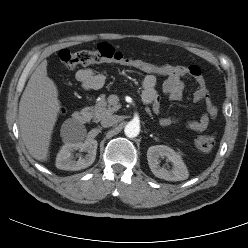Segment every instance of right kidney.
<instances>
[{
	"instance_id": "right-kidney-1",
	"label": "right kidney",
	"mask_w": 248,
	"mask_h": 248,
	"mask_svg": "<svg viewBox=\"0 0 248 248\" xmlns=\"http://www.w3.org/2000/svg\"><path fill=\"white\" fill-rule=\"evenodd\" d=\"M65 144L57 154L56 167L61 170L78 171L85 169L93 164L96 158L97 141L94 139H86L84 142H71L64 139ZM76 150L86 152L87 154L74 159Z\"/></svg>"
}]
</instances>
